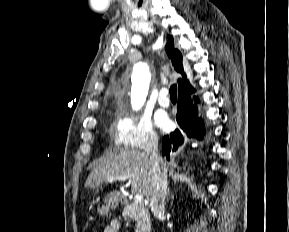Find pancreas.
Masks as SVG:
<instances>
[{
    "instance_id": "pancreas-1",
    "label": "pancreas",
    "mask_w": 289,
    "mask_h": 232,
    "mask_svg": "<svg viewBox=\"0 0 289 232\" xmlns=\"http://www.w3.org/2000/svg\"><path fill=\"white\" fill-rule=\"evenodd\" d=\"M122 216L125 220H132L135 223V232H150V215L143 204H126Z\"/></svg>"
}]
</instances>
